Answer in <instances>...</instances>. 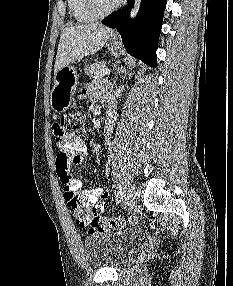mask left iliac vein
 I'll return each instance as SVG.
<instances>
[{
  "label": "left iliac vein",
  "instance_id": "4c4485c4",
  "mask_svg": "<svg viewBox=\"0 0 233 286\" xmlns=\"http://www.w3.org/2000/svg\"><path fill=\"white\" fill-rule=\"evenodd\" d=\"M125 205L133 210L137 204V192L133 186H129L125 191Z\"/></svg>",
  "mask_w": 233,
  "mask_h": 286
}]
</instances>
